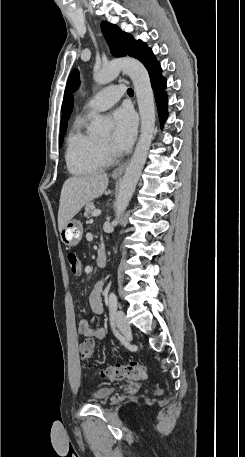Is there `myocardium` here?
<instances>
[{"mask_svg":"<svg viewBox=\"0 0 245 457\" xmlns=\"http://www.w3.org/2000/svg\"><path fill=\"white\" fill-rule=\"evenodd\" d=\"M98 146H99V152L102 155L105 156V155H108L111 153V148L108 145L101 143L99 140H98Z\"/></svg>","mask_w":245,"mask_h":457,"instance_id":"1","label":"myocardium"}]
</instances>
